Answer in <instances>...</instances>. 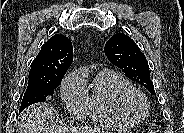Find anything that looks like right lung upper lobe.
<instances>
[{
    "mask_svg": "<svg viewBox=\"0 0 184 133\" xmlns=\"http://www.w3.org/2000/svg\"><path fill=\"white\" fill-rule=\"evenodd\" d=\"M73 61L71 41L60 34L52 36L31 64L28 83H46L64 77Z\"/></svg>",
    "mask_w": 184,
    "mask_h": 133,
    "instance_id": "obj_1",
    "label": "right lung upper lobe"
}]
</instances>
